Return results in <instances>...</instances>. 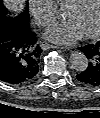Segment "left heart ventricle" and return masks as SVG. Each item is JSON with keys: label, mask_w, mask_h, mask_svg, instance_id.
Here are the masks:
<instances>
[{"label": "left heart ventricle", "mask_w": 100, "mask_h": 118, "mask_svg": "<svg viewBox=\"0 0 100 118\" xmlns=\"http://www.w3.org/2000/svg\"><path fill=\"white\" fill-rule=\"evenodd\" d=\"M100 0H83L78 6H66L64 15L72 19L82 33L92 31L98 21Z\"/></svg>", "instance_id": "1"}]
</instances>
